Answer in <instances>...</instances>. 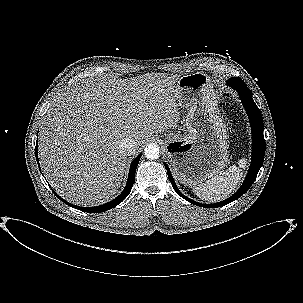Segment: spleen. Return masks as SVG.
<instances>
[{"instance_id":"spleen-1","label":"spleen","mask_w":303,"mask_h":303,"mask_svg":"<svg viewBox=\"0 0 303 303\" xmlns=\"http://www.w3.org/2000/svg\"><path fill=\"white\" fill-rule=\"evenodd\" d=\"M247 167V159L242 158L238 161V166L233 165L225 172L220 173L193 187V192L202 200L208 202H218L226 199L237 187L242 179V169Z\"/></svg>"}]
</instances>
